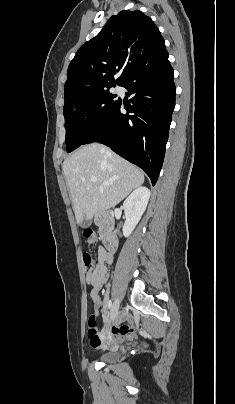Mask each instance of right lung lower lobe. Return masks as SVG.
Here are the masks:
<instances>
[{"mask_svg": "<svg viewBox=\"0 0 235 404\" xmlns=\"http://www.w3.org/2000/svg\"><path fill=\"white\" fill-rule=\"evenodd\" d=\"M168 57L128 77L121 86L128 90V96L133 95L129 104L120 100L83 142L109 146L142 168L153 185L162 168L175 106L174 71Z\"/></svg>", "mask_w": 235, "mask_h": 404, "instance_id": "98d812e1", "label": "right lung lower lobe"}]
</instances>
